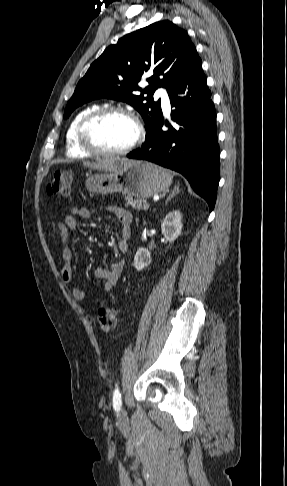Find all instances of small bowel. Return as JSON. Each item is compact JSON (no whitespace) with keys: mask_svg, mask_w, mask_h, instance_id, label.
<instances>
[{"mask_svg":"<svg viewBox=\"0 0 287 486\" xmlns=\"http://www.w3.org/2000/svg\"><path fill=\"white\" fill-rule=\"evenodd\" d=\"M112 212L117 217L120 224V238L117 242V250L120 254H125L128 251V241L131 236L132 215L129 211L113 207ZM93 213L87 208H72L66 214L63 220L57 222V228L60 233V240L62 244V260L63 266L61 269V277L65 285L71 291L73 298L77 301L86 299V293L75 284L73 280L72 258L73 253L69 246L70 233L77 228L76 216L83 219H90ZM125 266L124 260H118L110 265L109 268H97L94 271V276L103 281L104 292H109L117 283Z\"/></svg>","mask_w":287,"mask_h":486,"instance_id":"c3829d8e","label":"small bowel"}]
</instances>
